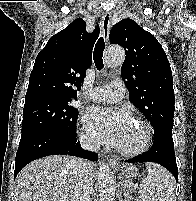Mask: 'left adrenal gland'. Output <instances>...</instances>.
I'll use <instances>...</instances> for the list:
<instances>
[{"instance_id":"obj_1","label":"left adrenal gland","mask_w":196,"mask_h":201,"mask_svg":"<svg viewBox=\"0 0 196 201\" xmlns=\"http://www.w3.org/2000/svg\"><path fill=\"white\" fill-rule=\"evenodd\" d=\"M122 186H123V184H122ZM122 189H123V187H121V193H122Z\"/></svg>"}]
</instances>
